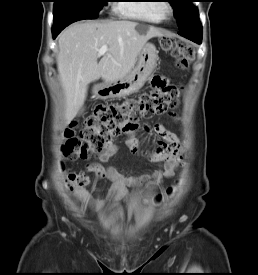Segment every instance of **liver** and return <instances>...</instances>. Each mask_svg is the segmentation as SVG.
<instances>
[{"mask_svg": "<svg viewBox=\"0 0 258 275\" xmlns=\"http://www.w3.org/2000/svg\"><path fill=\"white\" fill-rule=\"evenodd\" d=\"M154 28L129 20L78 22L58 36L57 68L64 91L66 124L83 106L88 84L102 78L111 82L123 78L134 67L146 42L162 36ZM108 51L98 62V51Z\"/></svg>", "mask_w": 258, "mask_h": 275, "instance_id": "1", "label": "liver"}]
</instances>
